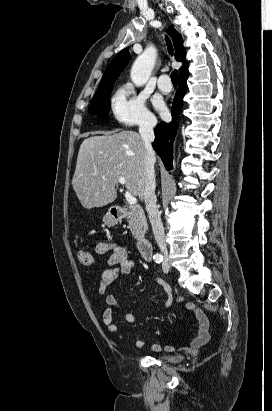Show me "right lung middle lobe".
Segmentation results:
<instances>
[{
  "label": "right lung middle lobe",
  "mask_w": 272,
  "mask_h": 411,
  "mask_svg": "<svg viewBox=\"0 0 272 411\" xmlns=\"http://www.w3.org/2000/svg\"><path fill=\"white\" fill-rule=\"evenodd\" d=\"M113 84L97 90L89 106V112L97 114L99 117H106L110 109V94Z\"/></svg>",
  "instance_id": "1"
}]
</instances>
